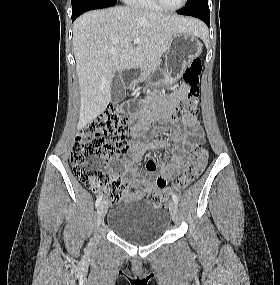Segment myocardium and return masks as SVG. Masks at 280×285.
<instances>
[{"instance_id": "f54148a6", "label": "myocardium", "mask_w": 280, "mask_h": 285, "mask_svg": "<svg viewBox=\"0 0 280 285\" xmlns=\"http://www.w3.org/2000/svg\"><path fill=\"white\" fill-rule=\"evenodd\" d=\"M154 1L161 8V10L168 11V12L178 11L182 9L187 3V0H182L181 3L176 7H168L163 3L162 0H154Z\"/></svg>"}]
</instances>
